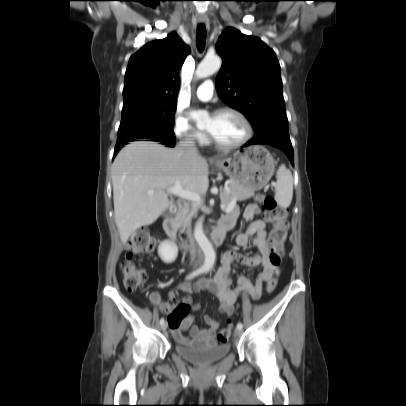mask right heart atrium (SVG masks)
Returning a JSON list of instances; mask_svg holds the SVG:
<instances>
[{
    "instance_id": "d8ad5b80",
    "label": "right heart atrium",
    "mask_w": 406,
    "mask_h": 406,
    "mask_svg": "<svg viewBox=\"0 0 406 406\" xmlns=\"http://www.w3.org/2000/svg\"><path fill=\"white\" fill-rule=\"evenodd\" d=\"M173 131L179 139L188 143H204L206 141V134L195 129L188 118L179 112L174 116Z\"/></svg>"
}]
</instances>
